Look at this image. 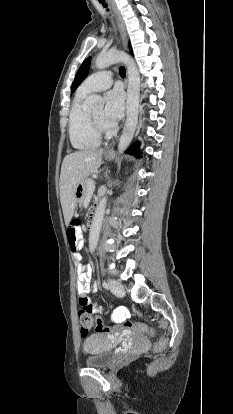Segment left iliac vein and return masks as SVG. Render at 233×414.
<instances>
[{
    "mask_svg": "<svg viewBox=\"0 0 233 414\" xmlns=\"http://www.w3.org/2000/svg\"><path fill=\"white\" fill-rule=\"evenodd\" d=\"M111 292L117 297H123L125 292L122 284L118 281L111 280L109 282Z\"/></svg>",
    "mask_w": 233,
    "mask_h": 414,
    "instance_id": "obj_1",
    "label": "left iliac vein"
}]
</instances>
